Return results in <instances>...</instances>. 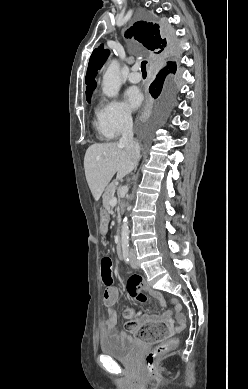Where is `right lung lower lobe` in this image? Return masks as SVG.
Returning <instances> with one entry per match:
<instances>
[{"mask_svg": "<svg viewBox=\"0 0 248 389\" xmlns=\"http://www.w3.org/2000/svg\"><path fill=\"white\" fill-rule=\"evenodd\" d=\"M164 31H165V30H164ZM165 35H166V37H167V39H168V41H169V44H170L172 47H174V46L176 45V42H175V40H174L172 34L165 31ZM156 85H157V83H156V84H153V83H152L151 86H150V88H149V91L152 92V89L155 88Z\"/></svg>", "mask_w": 248, "mask_h": 389, "instance_id": "1", "label": "right lung lower lobe"}]
</instances>
